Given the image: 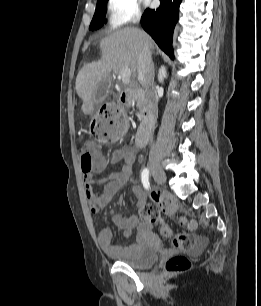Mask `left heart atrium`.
I'll return each instance as SVG.
<instances>
[{
  "mask_svg": "<svg viewBox=\"0 0 261 306\" xmlns=\"http://www.w3.org/2000/svg\"><path fill=\"white\" fill-rule=\"evenodd\" d=\"M144 1H145V3H147V4H148L150 0H144Z\"/></svg>",
  "mask_w": 261,
  "mask_h": 306,
  "instance_id": "obj_1",
  "label": "left heart atrium"
}]
</instances>
